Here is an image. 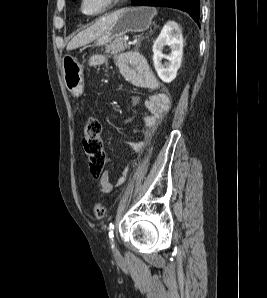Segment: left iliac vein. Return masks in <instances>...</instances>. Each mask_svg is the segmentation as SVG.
<instances>
[{
  "label": "left iliac vein",
  "instance_id": "1",
  "mask_svg": "<svg viewBox=\"0 0 267 298\" xmlns=\"http://www.w3.org/2000/svg\"><path fill=\"white\" fill-rule=\"evenodd\" d=\"M112 245H113V250H114V252L117 254L118 251H117V248H116V245H115V242H114V241H112Z\"/></svg>",
  "mask_w": 267,
  "mask_h": 298
}]
</instances>
